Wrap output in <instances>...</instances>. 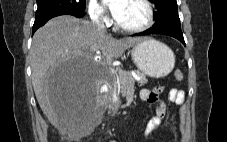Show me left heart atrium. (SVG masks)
<instances>
[{"label": "left heart atrium", "instance_id": "left-heart-atrium-1", "mask_svg": "<svg viewBox=\"0 0 227 142\" xmlns=\"http://www.w3.org/2000/svg\"><path fill=\"white\" fill-rule=\"evenodd\" d=\"M104 4L109 8L114 18H117L126 3V0H103Z\"/></svg>", "mask_w": 227, "mask_h": 142}]
</instances>
